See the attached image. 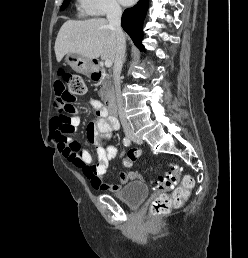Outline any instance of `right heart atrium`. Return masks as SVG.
<instances>
[{
	"label": "right heart atrium",
	"instance_id": "right-heart-atrium-1",
	"mask_svg": "<svg viewBox=\"0 0 248 258\" xmlns=\"http://www.w3.org/2000/svg\"><path fill=\"white\" fill-rule=\"evenodd\" d=\"M78 10L83 16H103L118 13V0H78Z\"/></svg>",
	"mask_w": 248,
	"mask_h": 258
}]
</instances>
